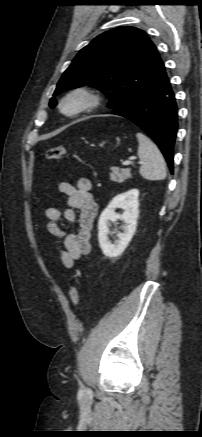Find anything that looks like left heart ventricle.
<instances>
[{
    "instance_id": "b2bd125f",
    "label": "left heart ventricle",
    "mask_w": 202,
    "mask_h": 437,
    "mask_svg": "<svg viewBox=\"0 0 202 437\" xmlns=\"http://www.w3.org/2000/svg\"><path fill=\"white\" fill-rule=\"evenodd\" d=\"M76 105H77L76 101H71L67 104L66 108L70 110V109L74 108Z\"/></svg>"
}]
</instances>
